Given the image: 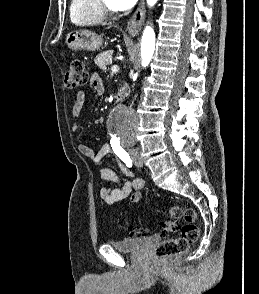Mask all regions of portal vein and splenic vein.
Instances as JSON below:
<instances>
[{
	"mask_svg": "<svg viewBox=\"0 0 259 294\" xmlns=\"http://www.w3.org/2000/svg\"><path fill=\"white\" fill-rule=\"evenodd\" d=\"M111 70H112L113 73L118 72V71H119V67H118V65H113V66L111 67Z\"/></svg>",
	"mask_w": 259,
	"mask_h": 294,
	"instance_id": "1",
	"label": "portal vein and splenic vein"
}]
</instances>
